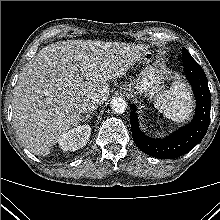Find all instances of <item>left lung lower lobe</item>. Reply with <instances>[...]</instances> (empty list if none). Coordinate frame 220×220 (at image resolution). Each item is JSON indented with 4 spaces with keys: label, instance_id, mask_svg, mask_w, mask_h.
I'll list each match as a JSON object with an SVG mask.
<instances>
[{
    "label": "left lung lower lobe",
    "instance_id": "0a47b994",
    "mask_svg": "<svg viewBox=\"0 0 220 220\" xmlns=\"http://www.w3.org/2000/svg\"><path fill=\"white\" fill-rule=\"evenodd\" d=\"M183 66L196 98V113L193 121L164 139H151L141 132L136 108L130 113L132 137L144 153L160 159L180 157L193 149L205 136L210 122L211 94L206 75L201 66L183 48Z\"/></svg>",
    "mask_w": 220,
    "mask_h": 220
}]
</instances>
